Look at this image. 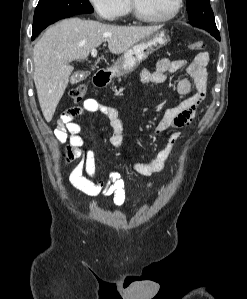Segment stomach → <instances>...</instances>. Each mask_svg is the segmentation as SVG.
Instances as JSON below:
<instances>
[{"mask_svg": "<svg viewBox=\"0 0 247 299\" xmlns=\"http://www.w3.org/2000/svg\"><path fill=\"white\" fill-rule=\"evenodd\" d=\"M167 31L162 29L144 38L129 48L112 67L113 76H123L134 71L149 55L168 44Z\"/></svg>", "mask_w": 247, "mask_h": 299, "instance_id": "0dacf381", "label": "stomach"}]
</instances>
